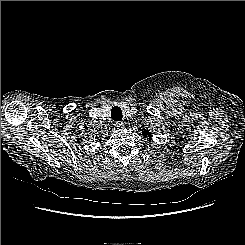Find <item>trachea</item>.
I'll return each instance as SVG.
<instances>
[{
  "label": "trachea",
  "mask_w": 245,
  "mask_h": 245,
  "mask_svg": "<svg viewBox=\"0 0 245 245\" xmlns=\"http://www.w3.org/2000/svg\"><path fill=\"white\" fill-rule=\"evenodd\" d=\"M122 117H123V115H122L121 109L118 106H114L111 109V118L114 121H121L122 120Z\"/></svg>",
  "instance_id": "1"
}]
</instances>
